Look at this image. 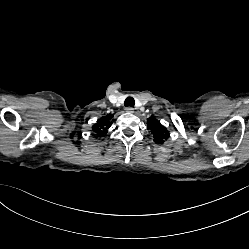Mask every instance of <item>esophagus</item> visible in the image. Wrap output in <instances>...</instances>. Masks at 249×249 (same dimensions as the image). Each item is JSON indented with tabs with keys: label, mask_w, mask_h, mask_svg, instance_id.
Wrapping results in <instances>:
<instances>
[{
	"label": "esophagus",
	"mask_w": 249,
	"mask_h": 249,
	"mask_svg": "<svg viewBox=\"0 0 249 249\" xmlns=\"http://www.w3.org/2000/svg\"><path fill=\"white\" fill-rule=\"evenodd\" d=\"M125 111L128 113H133L134 112V108L133 107H126Z\"/></svg>",
	"instance_id": "esophagus-1"
}]
</instances>
